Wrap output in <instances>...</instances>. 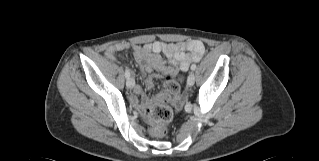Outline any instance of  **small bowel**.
<instances>
[{
    "mask_svg": "<svg viewBox=\"0 0 319 161\" xmlns=\"http://www.w3.org/2000/svg\"><path fill=\"white\" fill-rule=\"evenodd\" d=\"M128 43H118L109 46L105 54L109 58H116L120 51L129 48ZM133 53L136 62L141 70L150 73L157 71L160 73H166L170 71V66H175L181 73L188 71L190 65L194 62H198L205 53V46L201 41L189 40L176 43H167L163 41H153L144 45L133 46ZM161 55L165 56V59ZM146 85L150 87L152 81L148 79ZM134 93L136 96H141L143 93L142 88L139 85L134 87ZM131 103L134 106H138V99L136 97L131 98ZM151 103V100L144 98L142 104L138 106L140 115L145 116L146 106ZM183 104V95L178 90L173 96L172 105L176 109H180Z\"/></svg>",
    "mask_w": 319,
    "mask_h": 161,
    "instance_id": "1",
    "label": "small bowel"
}]
</instances>
